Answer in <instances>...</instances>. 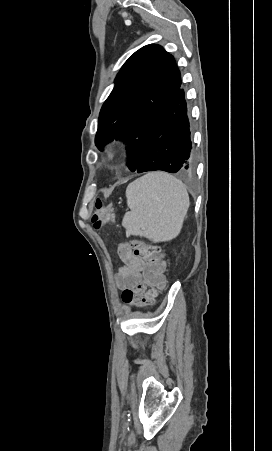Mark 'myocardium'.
Masks as SVG:
<instances>
[{"mask_svg":"<svg viewBox=\"0 0 272 451\" xmlns=\"http://www.w3.org/2000/svg\"><path fill=\"white\" fill-rule=\"evenodd\" d=\"M106 159H107L108 162H115V161H117L118 156H117V154L114 151L109 150L106 153Z\"/></svg>","mask_w":272,"mask_h":451,"instance_id":"obj_1","label":"myocardium"}]
</instances>
